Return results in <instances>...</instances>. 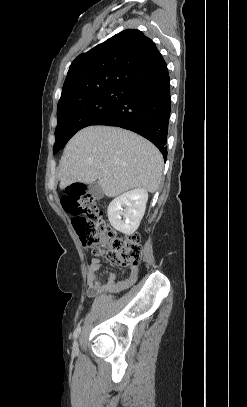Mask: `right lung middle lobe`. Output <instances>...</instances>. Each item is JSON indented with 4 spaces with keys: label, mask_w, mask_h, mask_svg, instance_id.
<instances>
[{
    "label": "right lung middle lobe",
    "mask_w": 247,
    "mask_h": 407,
    "mask_svg": "<svg viewBox=\"0 0 247 407\" xmlns=\"http://www.w3.org/2000/svg\"><path fill=\"white\" fill-rule=\"evenodd\" d=\"M130 91V87H110L58 107L53 154L61 150L77 131L111 112Z\"/></svg>",
    "instance_id": "obj_1"
}]
</instances>
